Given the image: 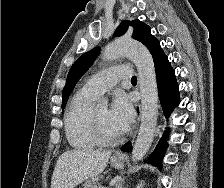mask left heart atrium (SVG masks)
Here are the masks:
<instances>
[{"instance_id":"obj_1","label":"left heart atrium","mask_w":224,"mask_h":188,"mask_svg":"<svg viewBox=\"0 0 224 188\" xmlns=\"http://www.w3.org/2000/svg\"><path fill=\"white\" fill-rule=\"evenodd\" d=\"M109 117L113 126L121 134L129 128L134 120V110L124 94H118L109 110Z\"/></svg>"}]
</instances>
